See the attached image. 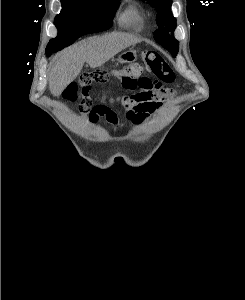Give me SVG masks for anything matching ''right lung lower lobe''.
<instances>
[{"mask_svg": "<svg viewBox=\"0 0 245 300\" xmlns=\"http://www.w3.org/2000/svg\"><path fill=\"white\" fill-rule=\"evenodd\" d=\"M80 27L82 28V34H90L95 32H100L106 30V27L103 26L101 22H98L97 20H84L81 22ZM52 53V51L46 50V55L49 57Z\"/></svg>", "mask_w": 245, "mask_h": 300, "instance_id": "98d812e1", "label": "right lung lower lobe"}]
</instances>
